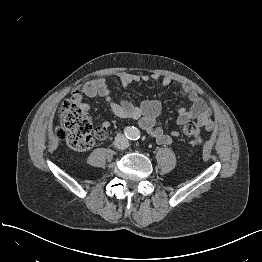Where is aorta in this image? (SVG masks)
Listing matches in <instances>:
<instances>
[{"mask_svg": "<svg viewBox=\"0 0 262 262\" xmlns=\"http://www.w3.org/2000/svg\"><path fill=\"white\" fill-rule=\"evenodd\" d=\"M129 138L136 140L140 137V131L137 128H131L130 131L128 132Z\"/></svg>", "mask_w": 262, "mask_h": 262, "instance_id": "762f6f07", "label": "aorta"}]
</instances>
